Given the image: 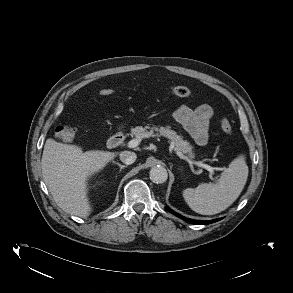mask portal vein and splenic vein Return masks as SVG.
<instances>
[{
    "instance_id": "1",
    "label": "portal vein and splenic vein",
    "mask_w": 293,
    "mask_h": 293,
    "mask_svg": "<svg viewBox=\"0 0 293 293\" xmlns=\"http://www.w3.org/2000/svg\"><path fill=\"white\" fill-rule=\"evenodd\" d=\"M149 136H150V135H145V136H143V137H138V138H136V139H133V140H131V141L128 142L127 146H128L129 148H135V147H137V146L140 144L142 138H144V137H149ZM176 153H177V155H178L179 157H181V158H183V159H187V157H185L181 152H178V151H177ZM195 164L198 165V166H200V167H202V168H204V169H206L207 171H209V173H210V178H211L212 180H214L213 175H214V169H215V168L211 167L210 165L204 164V163L201 162V161H199V162H195ZM223 169H225V168H223Z\"/></svg>"
}]
</instances>
